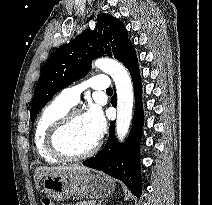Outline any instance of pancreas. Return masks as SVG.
<instances>
[{
    "instance_id": "1",
    "label": "pancreas",
    "mask_w": 212,
    "mask_h": 205,
    "mask_svg": "<svg viewBox=\"0 0 212 205\" xmlns=\"http://www.w3.org/2000/svg\"><path fill=\"white\" fill-rule=\"evenodd\" d=\"M76 205H94L93 201L78 202Z\"/></svg>"
}]
</instances>
